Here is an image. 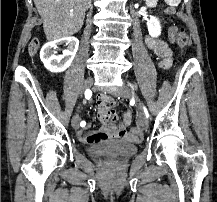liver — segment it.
<instances>
[{"instance_id":"6515ba94","label":"liver","mask_w":217,"mask_h":202,"mask_svg":"<svg viewBox=\"0 0 217 202\" xmlns=\"http://www.w3.org/2000/svg\"><path fill=\"white\" fill-rule=\"evenodd\" d=\"M49 42L68 38L83 26L88 0H33Z\"/></svg>"}]
</instances>
